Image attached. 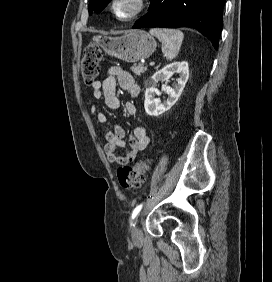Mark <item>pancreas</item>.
Listing matches in <instances>:
<instances>
[{"label":"pancreas","instance_id":"1","mask_svg":"<svg viewBox=\"0 0 272 282\" xmlns=\"http://www.w3.org/2000/svg\"><path fill=\"white\" fill-rule=\"evenodd\" d=\"M131 70L135 73L136 76H140L142 73L147 71V67L141 63L131 67Z\"/></svg>","mask_w":272,"mask_h":282}]
</instances>
